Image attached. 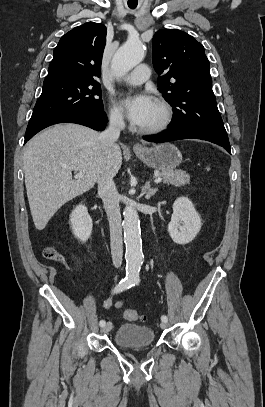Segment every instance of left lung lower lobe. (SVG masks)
Listing matches in <instances>:
<instances>
[{
	"label": "left lung lower lobe",
	"instance_id": "obj_1",
	"mask_svg": "<svg viewBox=\"0 0 265 407\" xmlns=\"http://www.w3.org/2000/svg\"><path fill=\"white\" fill-rule=\"evenodd\" d=\"M191 138L210 141L212 143L224 147L229 153H231L228 139H222L212 134L196 129H168L164 133L158 135L145 136L143 139L151 142H167L172 140L191 139Z\"/></svg>",
	"mask_w": 265,
	"mask_h": 407
}]
</instances>
